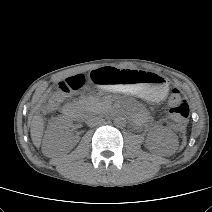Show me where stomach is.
I'll return each instance as SVG.
<instances>
[{
    "instance_id": "0dacf381",
    "label": "stomach",
    "mask_w": 212,
    "mask_h": 212,
    "mask_svg": "<svg viewBox=\"0 0 212 212\" xmlns=\"http://www.w3.org/2000/svg\"><path fill=\"white\" fill-rule=\"evenodd\" d=\"M89 79L98 86H110L151 101L164 99L168 91L167 81L161 75L128 69L119 70L112 66H100L92 70Z\"/></svg>"
}]
</instances>
